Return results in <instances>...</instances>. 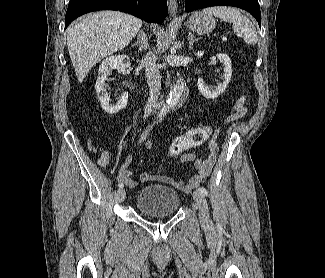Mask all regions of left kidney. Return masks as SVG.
<instances>
[{
    "label": "left kidney",
    "instance_id": "obj_1",
    "mask_svg": "<svg viewBox=\"0 0 325 278\" xmlns=\"http://www.w3.org/2000/svg\"><path fill=\"white\" fill-rule=\"evenodd\" d=\"M217 58L224 66V77L222 82H220L215 89H210L209 87H207L203 79L201 78L198 79V83H197L199 91L207 99H215L219 95L224 93L227 85L231 80V75H232L231 59L229 58L228 55L223 53L217 54Z\"/></svg>",
    "mask_w": 325,
    "mask_h": 278
}]
</instances>
